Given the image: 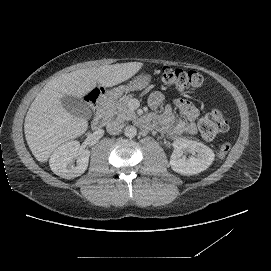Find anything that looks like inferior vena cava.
<instances>
[{
	"mask_svg": "<svg viewBox=\"0 0 271 271\" xmlns=\"http://www.w3.org/2000/svg\"><path fill=\"white\" fill-rule=\"evenodd\" d=\"M123 125V121L118 119H111L106 126V131L109 134H117L122 131Z\"/></svg>",
	"mask_w": 271,
	"mask_h": 271,
	"instance_id": "1",
	"label": "inferior vena cava"
}]
</instances>
